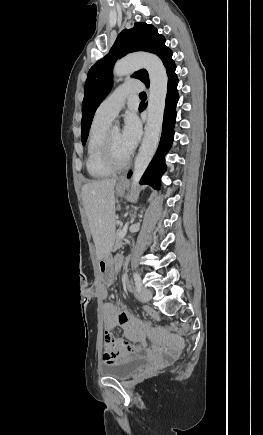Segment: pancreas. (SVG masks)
Listing matches in <instances>:
<instances>
[{"label":"pancreas","instance_id":"cf45deb5","mask_svg":"<svg viewBox=\"0 0 263 435\" xmlns=\"http://www.w3.org/2000/svg\"><path fill=\"white\" fill-rule=\"evenodd\" d=\"M120 230L121 229H118L117 232H116V241H115V246H114L116 249L120 248L123 245L122 238H120L118 236V233L120 232Z\"/></svg>","mask_w":263,"mask_h":435}]
</instances>
